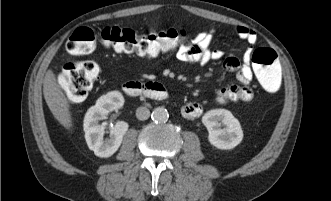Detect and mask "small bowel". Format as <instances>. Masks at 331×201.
<instances>
[{
	"instance_id": "small-bowel-1",
	"label": "small bowel",
	"mask_w": 331,
	"mask_h": 201,
	"mask_svg": "<svg viewBox=\"0 0 331 201\" xmlns=\"http://www.w3.org/2000/svg\"><path fill=\"white\" fill-rule=\"evenodd\" d=\"M238 36L249 44H255L257 33L246 27L237 28ZM214 30H207L198 33L194 39L181 44L176 51V57L183 62L194 64H207L213 61H219L223 58V51L212 49ZM251 49H248L242 62L235 57H227L224 60V68L227 72L235 73L239 85L234 84L221 88L215 93V101L219 104H225L234 101H249L253 98V90L249 86L254 76V69L251 63ZM203 111L199 102H189L181 107V114L186 118H196Z\"/></svg>"
}]
</instances>
